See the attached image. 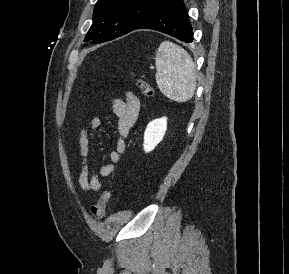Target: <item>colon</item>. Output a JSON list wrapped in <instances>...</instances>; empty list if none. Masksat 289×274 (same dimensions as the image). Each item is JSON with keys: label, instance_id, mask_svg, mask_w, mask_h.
<instances>
[{"label": "colon", "instance_id": "5ec220e1", "mask_svg": "<svg viewBox=\"0 0 289 274\" xmlns=\"http://www.w3.org/2000/svg\"><path fill=\"white\" fill-rule=\"evenodd\" d=\"M131 78L133 79V81H135L137 88L142 95L146 97H151L153 95V88L147 81L136 77L133 73H131ZM110 197V191L105 190L101 194L98 202L90 207V214L94 219H100L103 216Z\"/></svg>", "mask_w": 289, "mask_h": 274}]
</instances>
